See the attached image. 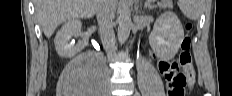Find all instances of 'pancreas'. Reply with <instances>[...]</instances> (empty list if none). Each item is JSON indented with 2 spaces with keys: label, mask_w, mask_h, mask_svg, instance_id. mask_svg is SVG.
Listing matches in <instances>:
<instances>
[{
  "label": "pancreas",
  "mask_w": 232,
  "mask_h": 96,
  "mask_svg": "<svg viewBox=\"0 0 232 96\" xmlns=\"http://www.w3.org/2000/svg\"><path fill=\"white\" fill-rule=\"evenodd\" d=\"M160 6H167V7H171V3H167V4H160Z\"/></svg>",
  "instance_id": "pancreas-1"
}]
</instances>
